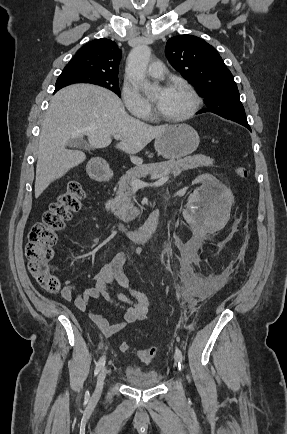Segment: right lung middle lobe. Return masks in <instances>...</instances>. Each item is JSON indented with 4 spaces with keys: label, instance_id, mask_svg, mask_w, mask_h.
Segmentation results:
<instances>
[{
    "label": "right lung middle lobe",
    "instance_id": "1",
    "mask_svg": "<svg viewBox=\"0 0 287 434\" xmlns=\"http://www.w3.org/2000/svg\"><path fill=\"white\" fill-rule=\"evenodd\" d=\"M73 83H88L105 87L120 96L118 77L94 76L78 70L64 69L56 81V87Z\"/></svg>",
    "mask_w": 287,
    "mask_h": 434
}]
</instances>
